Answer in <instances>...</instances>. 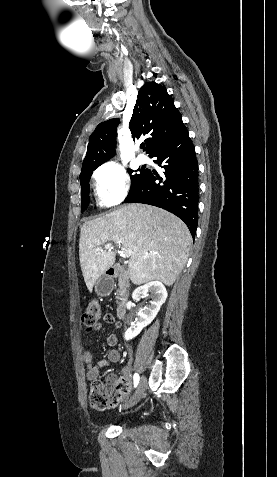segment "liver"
<instances>
[{
  "mask_svg": "<svg viewBox=\"0 0 277 477\" xmlns=\"http://www.w3.org/2000/svg\"><path fill=\"white\" fill-rule=\"evenodd\" d=\"M110 241L133 251L128 262L133 284L158 280L171 286L186 265L192 237L177 216L145 204L124 205L85 222L79 239V258L90 292L115 262V251H97Z\"/></svg>",
  "mask_w": 277,
  "mask_h": 477,
  "instance_id": "obj_1",
  "label": "liver"
}]
</instances>
